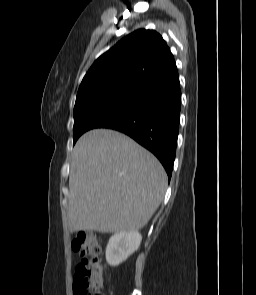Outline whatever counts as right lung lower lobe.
<instances>
[{
  "instance_id": "obj_1",
  "label": "right lung lower lobe",
  "mask_w": 256,
  "mask_h": 295,
  "mask_svg": "<svg viewBox=\"0 0 256 295\" xmlns=\"http://www.w3.org/2000/svg\"><path fill=\"white\" fill-rule=\"evenodd\" d=\"M181 90L175 61L136 92L131 104L98 128L123 132L150 150L171 178L176 154Z\"/></svg>"
}]
</instances>
